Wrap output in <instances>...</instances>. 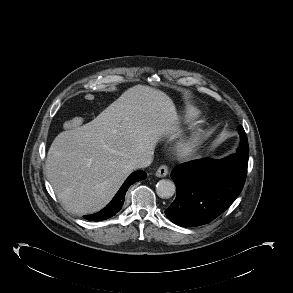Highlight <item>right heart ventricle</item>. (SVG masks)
<instances>
[{
  "mask_svg": "<svg viewBox=\"0 0 293 293\" xmlns=\"http://www.w3.org/2000/svg\"><path fill=\"white\" fill-rule=\"evenodd\" d=\"M199 115L198 109L194 107H186L182 112V118L185 121H192Z\"/></svg>",
  "mask_w": 293,
  "mask_h": 293,
  "instance_id": "e07e8e85",
  "label": "right heart ventricle"
}]
</instances>
